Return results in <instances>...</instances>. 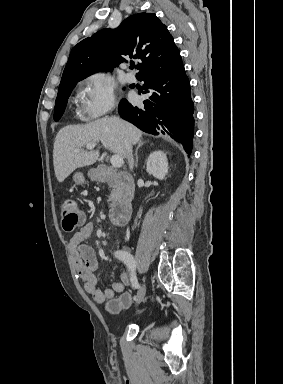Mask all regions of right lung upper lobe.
I'll list each match as a JSON object with an SVG mask.
<instances>
[{"instance_id": "obj_1", "label": "right lung upper lobe", "mask_w": 283, "mask_h": 384, "mask_svg": "<svg viewBox=\"0 0 283 384\" xmlns=\"http://www.w3.org/2000/svg\"><path fill=\"white\" fill-rule=\"evenodd\" d=\"M129 58L141 60L136 75L139 80L182 64L166 25L153 13H138L118 28L102 29L74 46L60 85L77 83L100 70H112Z\"/></svg>"}]
</instances>
